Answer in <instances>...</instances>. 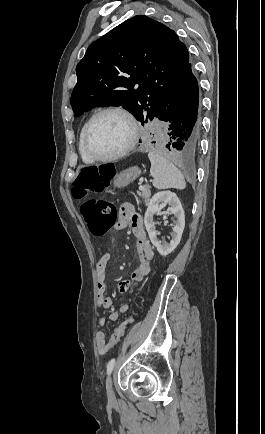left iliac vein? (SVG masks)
I'll return each instance as SVG.
<instances>
[{
  "mask_svg": "<svg viewBox=\"0 0 265 434\" xmlns=\"http://www.w3.org/2000/svg\"><path fill=\"white\" fill-rule=\"evenodd\" d=\"M106 393H107L108 400L111 403H115L116 397H115V393L113 390L112 378L110 376L106 380Z\"/></svg>",
  "mask_w": 265,
  "mask_h": 434,
  "instance_id": "1",
  "label": "left iliac vein"
}]
</instances>
